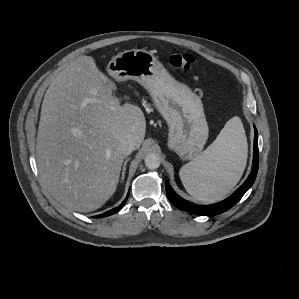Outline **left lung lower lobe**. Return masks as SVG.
I'll use <instances>...</instances> for the list:
<instances>
[{"label":"left lung lower lobe","instance_id":"1","mask_svg":"<svg viewBox=\"0 0 299 299\" xmlns=\"http://www.w3.org/2000/svg\"><path fill=\"white\" fill-rule=\"evenodd\" d=\"M258 166H259L258 132L255 128L254 153H253V164H252L251 173L248 179L230 197L216 204H212L208 206H198L178 196L173 191L170 184L166 180L165 186H166L167 197L177 208L192 214L206 215V216L221 214L229 210L231 207H233L247 192V190L253 185L256 179Z\"/></svg>","mask_w":299,"mask_h":299}]
</instances>
